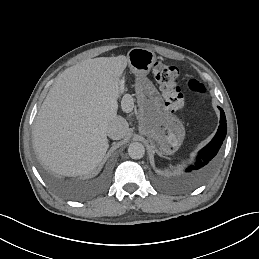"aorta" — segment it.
I'll return each instance as SVG.
<instances>
[{"mask_svg":"<svg viewBox=\"0 0 259 259\" xmlns=\"http://www.w3.org/2000/svg\"><path fill=\"white\" fill-rule=\"evenodd\" d=\"M128 154L132 159H141L145 154L144 145L140 142H133L128 147Z\"/></svg>","mask_w":259,"mask_h":259,"instance_id":"1","label":"aorta"}]
</instances>
